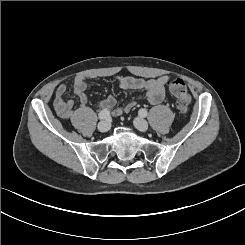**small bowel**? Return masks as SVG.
Listing matches in <instances>:
<instances>
[{"instance_id": "small-bowel-1", "label": "small bowel", "mask_w": 245, "mask_h": 245, "mask_svg": "<svg viewBox=\"0 0 245 245\" xmlns=\"http://www.w3.org/2000/svg\"><path fill=\"white\" fill-rule=\"evenodd\" d=\"M169 80L168 76H161L153 79L135 78L132 76H116V85L127 91H143L149 104L156 105L161 103L165 98V86ZM67 86L60 84L56 88L54 107L57 114L63 119H70L73 123H78V118L82 110H75L73 101L67 97ZM74 94L78 97L82 105L87 103V79L84 76H78L74 80ZM116 99L110 95L103 100L99 107L103 110H111L113 115H120L128 112L135 102L128 103L123 108H115Z\"/></svg>"}]
</instances>
